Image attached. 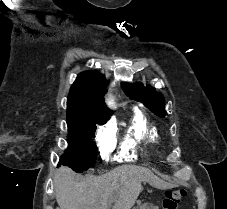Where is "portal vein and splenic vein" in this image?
<instances>
[{"mask_svg": "<svg viewBox=\"0 0 227 209\" xmlns=\"http://www.w3.org/2000/svg\"><path fill=\"white\" fill-rule=\"evenodd\" d=\"M112 201H114V199H112ZM146 203L144 202V203H142L140 206H141V208L140 209H145V205Z\"/></svg>", "mask_w": 227, "mask_h": 209, "instance_id": "portal-vein-and-splenic-vein-1", "label": "portal vein and splenic vein"}]
</instances>
